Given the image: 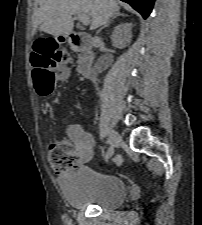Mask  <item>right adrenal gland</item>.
Wrapping results in <instances>:
<instances>
[{"label":"right adrenal gland","instance_id":"right-adrenal-gland-1","mask_svg":"<svg viewBox=\"0 0 202 225\" xmlns=\"http://www.w3.org/2000/svg\"><path fill=\"white\" fill-rule=\"evenodd\" d=\"M122 16V17H126L127 15L125 14H121V13H116L110 20H108L98 31L97 34H99L104 28L108 27L109 24L117 17Z\"/></svg>","mask_w":202,"mask_h":225}]
</instances>
